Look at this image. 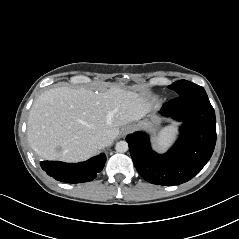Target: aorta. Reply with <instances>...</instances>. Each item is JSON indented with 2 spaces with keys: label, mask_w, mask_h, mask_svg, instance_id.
I'll list each match as a JSON object with an SVG mask.
<instances>
[{
  "label": "aorta",
  "mask_w": 239,
  "mask_h": 239,
  "mask_svg": "<svg viewBox=\"0 0 239 239\" xmlns=\"http://www.w3.org/2000/svg\"><path fill=\"white\" fill-rule=\"evenodd\" d=\"M115 149L117 152L124 153L128 150V143L126 141H119Z\"/></svg>",
  "instance_id": "obj_1"
}]
</instances>
